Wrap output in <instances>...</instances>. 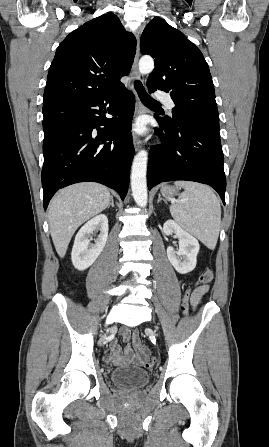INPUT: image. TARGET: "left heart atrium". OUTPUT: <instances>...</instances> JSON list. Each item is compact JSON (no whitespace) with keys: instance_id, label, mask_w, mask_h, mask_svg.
Segmentation results:
<instances>
[{"instance_id":"1","label":"left heart atrium","mask_w":269,"mask_h":447,"mask_svg":"<svg viewBox=\"0 0 269 447\" xmlns=\"http://www.w3.org/2000/svg\"><path fill=\"white\" fill-rule=\"evenodd\" d=\"M134 129L138 132H143L145 130L144 122L140 119H137L134 123Z\"/></svg>"}]
</instances>
